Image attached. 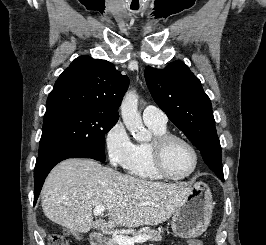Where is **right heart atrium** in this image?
Here are the masks:
<instances>
[{"label":"right heart atrium","instance_id":"1","mask_svg":"<svg viewBox=\"0 0 266 245\" xmlns=\"http://www.w3.org/2000/svg\"><path fill=\"white\" fill-rule=\"evenodd\" d=\"M104 149L108 162L115 168L129 170L133 162L136 144L122 122H115L104 134Z\"/></svg>","mask_w":266,"mask_h":245}]
</instances>
